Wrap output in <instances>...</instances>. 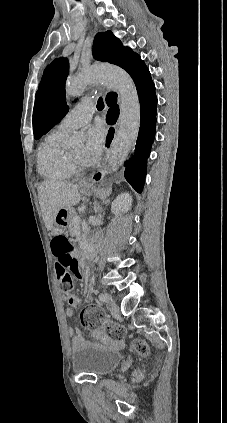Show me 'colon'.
I'll use <instances>...</instances> for the list:
<instances>
[{
	"label": "colon",
	"mask_w": 227,
	"mask_h": 423,
	"mask_svg": "<svg viewBox=\"0 0 227 423\" xmlns=\"http://www.w3.org/2000/svg\"><path fill=\"white\" fill-rule=\"evenodd\" d=\"M53 255L56 258L57 278L63 293H70L74 287V279L77 275L78 262L73 254V246L68 237L62 232H56L51 241ZM82 325L90 330H104L109 335L119 337L123 335V329L117 325L105 321L100 308L94 305L85 307L80 315ZM132 348L138 353L146 352V345L142 341H134Z\"/></svg>",
	"instance_id": "obj_1"
}]
</instances>
